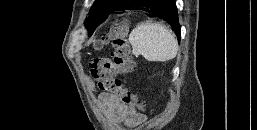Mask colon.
<instances>
[{"mask_svg":"<svg viewBox=\"0 0 257 130\" xmlns=\"http://www.w3.org/2000/svg\"><path fill=\"white\" fill-rule=\"evenodd\" d=\"M127 34L128 25L124 21H119L111 28L107 36L96 43V47L100 48L112 40V50L108 57L91 60L90 76L96 82L100 92L116 94L122 105L143 112L145 104L119 78V75L131 73L136 68L130 54Z\"/></svg>","mask_w":257,"mask_h":130,"instance_id":"obj_1","label":"colon"}]
</instances>
